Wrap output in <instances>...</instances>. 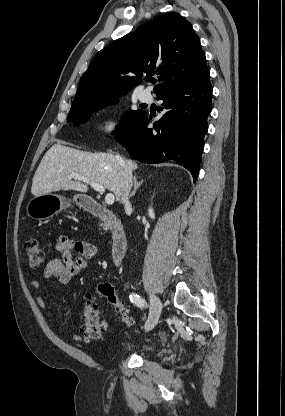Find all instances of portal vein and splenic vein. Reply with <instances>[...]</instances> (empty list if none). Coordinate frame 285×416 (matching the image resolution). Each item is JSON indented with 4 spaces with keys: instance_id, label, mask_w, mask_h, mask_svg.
<instances>
[{
    "instance_id": "1",
    "label": "portal vein and splenic vein",
    "mask_w": 285,
    "mask_h": 416,
    "mask_svg": "<svg viewBox=\"0 0 285 416\" xmlns=\"http://www.w3.org/2000/svg\"><path fill=\"white\" fill-rule=\"evenodd\" d=\"M68 180H78V182H84V184H89L93 190H96V192H101V194H104L105 188L104 186H100V184H95V182H91V180H88V178H85V176H80V174H70L68 176ZM115 196L114 194H107L105 198L106 204H114Z\"/></svg>"
}]
</instances>
